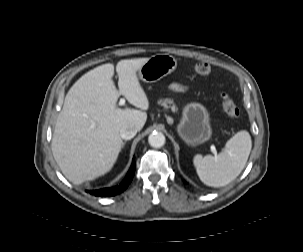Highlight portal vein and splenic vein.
Masks as SVG:
<instances>
[{
  "instance_id": "obj_1",
  "label": "portal vein and splenic vein",
  "mask_w": 303,
  "mask_h": 252,
  "mask_svg": "<svg viewBox=\"0 0 303 252\" xmlns=\"http://www.w3.org/2000/svg\"><path fill=\"white\" fill-rule=\"evenodd\" d=\"M124 103H125V99H120L119 105H124ZM92 126H94V125H92ZM211 151L214 152V153L216 152L214 146H211Z\"/></svg>"
}]
</instances>
